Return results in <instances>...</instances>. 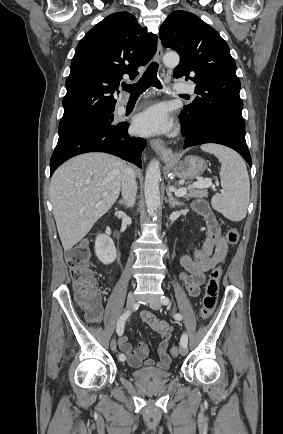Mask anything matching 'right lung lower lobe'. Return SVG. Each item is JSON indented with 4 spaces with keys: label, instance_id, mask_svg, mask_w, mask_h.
<instances>
[{
    "label": "right lung lower lobe",
    "instance_id": "obj_1",
    "mask_svg": "<svg viewBox=\"0 0 283 434\" xmlns=\"http://www.w3.org/2000/svg\"><path fill=\"white\" fill-rule=\"evenodd\" d=\"M127 123H96L73 129L59 136L50 161L51 176L69 158L88 152H106L141 165V154L147 145L142 138L130 137Z\"/></svg>",
    "mask_w": 283,
    "mask_h": 434
}]
</instances>
